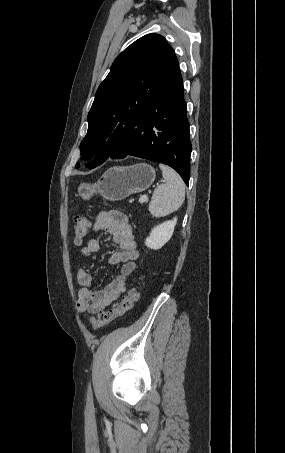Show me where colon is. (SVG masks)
<instances>
[{"mask_svg": "<svg viewBox=\"0 0 285 453\" xmlns=\"http://www.w3.org/2000/svg\"><path fill=\"white\" fill-rule=\"evenodd\" d=\"M89 229V221L83 215H77L74 220V243L80 246ZM140 282L138 281L128 293L122 297L121 301L115 303L110 309L101 311L96 318L91 320V324L94 329L101 328L105 325L110 324L114 320L123 317L128 311H130L134 304L138 301Z\"/></svg>", "mask_w": 285, "mask_h": 453, "instance_id": "obj_1", "label": "colon"}]
</instances>
